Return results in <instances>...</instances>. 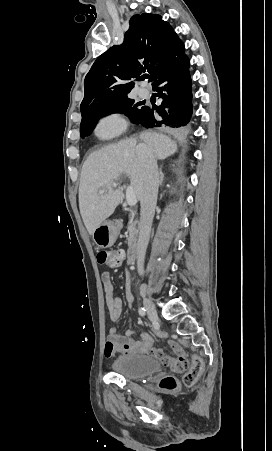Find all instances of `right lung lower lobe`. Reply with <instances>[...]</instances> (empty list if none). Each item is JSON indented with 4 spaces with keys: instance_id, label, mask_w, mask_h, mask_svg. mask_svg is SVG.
I'll list each match as a JSON object with an SVG mask.
<instances>
[{
    "instance_id": "98d812e1",
    "label": "right lung lower lobe",
    "mask_w": 272,
    "mask_h": 451,
    "mask_svg": "<svg viewBox=\"0 0 272 451\" xmlns=\"http://www.w3.org/2000/svg\"><path fill=\"white\" fill-rule=\"evenodd\" d=\"M152 87L162 99L161 105L156 109L161 118L156 119L153 110L146 107L142 119L136 124L146 128L187 131L191 125L193 111L189 58L184 53L177 57L158 73Z\"/></svg>"
}]
</instances>
